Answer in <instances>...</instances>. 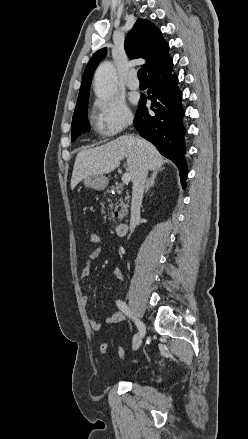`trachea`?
<instances>
[{
  "instance_id": "trachea-1",
  "label": "trachea",
  "mask_w": 248,
  "mask_h": 439,
  "mask_svg": "<svg viewBox=\"0 0 248 439\" xmlns=\"http://www.w3.org/2000/svg\"><path fill=\"white\" fill-rule=\"evenodd\" d=\"M138 78H139V80H147L148 79L147 73H146L144 68H140L138 70Z\"/></svg>"
}]
</instances>
